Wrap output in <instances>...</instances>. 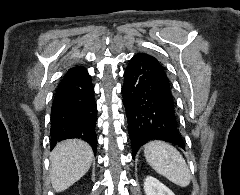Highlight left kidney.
<instances>
[{"label": "left kidney", "mask_w": 240, "mask_h": 195, "mask_svg": "<svg viewBox=\"0 0 240 195\" xmlns=\"http://www.w3.org/2000/svg\"><path fill=\"white\" fill-rule=\"evenodd\" d=\"M144 191L146 195H175L172 189L161 183L156 177L147 175L144 179Z\"/></svg>", "instance_id": "1"}]
</instances>
